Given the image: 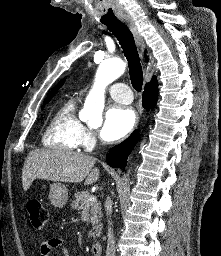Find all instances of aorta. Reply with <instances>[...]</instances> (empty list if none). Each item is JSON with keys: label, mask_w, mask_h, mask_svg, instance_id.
I'll use <instances>...</instances> for the list:
<instances>
[{"label": "aorta", "mask_w": 221, "mask_h": 256, "mask_svg": "<svg viewBox=\"0 0 221 256\" xmlns=\"http://www.w3.org/2000/svg\"><path fill=\"white\" fill-rule=\"evenodd\" d=\"M126 64L121 59L104 60L98 67L95 82L88 94L80 116L92 121L101 120L105 103V88L119 78L125 71Z\"/></svg>", "instance_id": "aorta-1"}]
</instances>
